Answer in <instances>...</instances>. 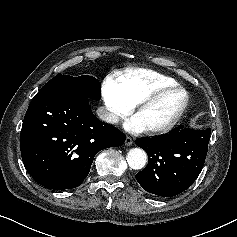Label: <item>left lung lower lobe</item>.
Listing matches in <instances>:
<instances>
[{
  "label": "left lung lower lobe",
  "mask_w": 237,
  "mask_h": 237,
  "mask_svg": "<svg viewBox=\"0 0 237 237\" xmlns=\"http://www.w3.org/2000/svg\"><path fill=\"white\" fill-rule=\"evenodd\" d=\"M210 131L180 125L167 134L136 139V145L148 155L147 166L136 174L141 187L162 197L175 196L189 188L203 168Z\"/></svg>",
  "instance_id": "obj_1"
}]
</instances>
